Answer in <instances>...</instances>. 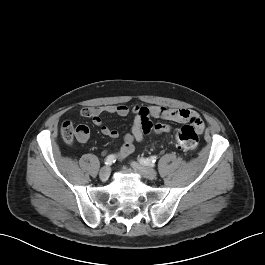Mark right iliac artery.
<instances>
[{
	"instance_id": "right-iliac-artery-1",
	"label": "right iliac artery",
	"mask_w": 265,
	"mask_h": 265,
	"mask_svg": "<svg viewBox=\"0 0 265 265\" xmlns=\"http://www.w3.org/2000/svg\"><path fill=\"white\" fill-rule=\"evenodd\" d=\"M115 161H116V156L113 155V154H111V155H109V156L106 157V159H105V164H106V165H111V164H113Z\"/></svg>"
}]
</instances>
